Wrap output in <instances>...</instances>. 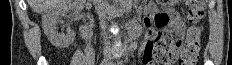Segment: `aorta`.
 <instances>
[{"instance_id":"762f6f07","label":"aorta","mask_w":232,"mask_h":65,"mask_svg":"<svg viewBox=\"0 0 232 65\" xmlns=\"http://www.w3.org/2000/svg\"><path fill=\"white\" fill-rule=\"evenodd\" d=\"M132 0H120V7L126 13H130L132 10Z\"/></svg>"}]
</instances>
